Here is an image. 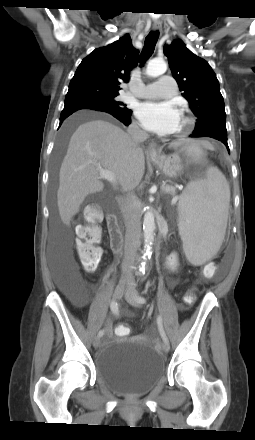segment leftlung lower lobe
Returning a JSON list of instances; mask_svg holds the SVG:
<instances>
[{"label":"left lung lower lobe","instance_id":"obj_1","mask_svg":"<svg viewBox=\"0 0 255 440\" xmlns=\"http://www.w3.org/2000/svg\"><path fill=\"white\" fill-rule=\"evenodd\" d=\"M189 137L197 138V137H211L218 141H221L229 150L228 143H227V133L218 131V130H207L202 132H193Z\"/></svg>","mask_w":255,"mask_h":440}]
</instances>
